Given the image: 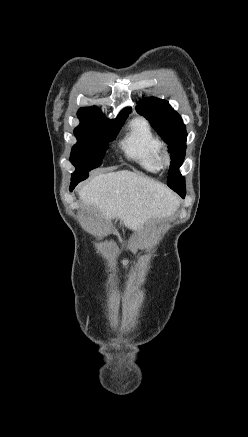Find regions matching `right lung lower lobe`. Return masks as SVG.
I'll list each match as a JSON object with an SVG mask.
<instances>
[{"label":"right lung lower lobe","mask_w":248,"mask_h":437,"mask_svg":"<svg viewBox=\"0 0 248 437\" xmlns=\"http://www.w3.org/2000/svg\"><path fill=\"white\" fill-rule=\"evenodd\" d=\"M80 182V180H72L71 182V186H70V191H72L74 189V187Z\"/></svg>","instance_id":"obj_1"}]
</instances>
